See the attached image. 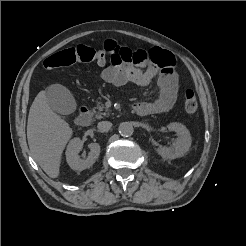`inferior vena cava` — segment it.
<instances>
[{
	"label": "inferior vena cava",
	"mask_w": 246,
	"mask_h": 246,
	"mask_svg": "<svg viewBox=\"0 0 246 246\" xmlns=\"http://www.w3.org/2000/svg\"><path fill=\"white\" fill-rule=\"evenodd\" d=\"M111 127H112V123L109 121H101L97 125V128L103 132H108Z\"/></svg>",
	"instance_id": "1"
}]
</instances>
